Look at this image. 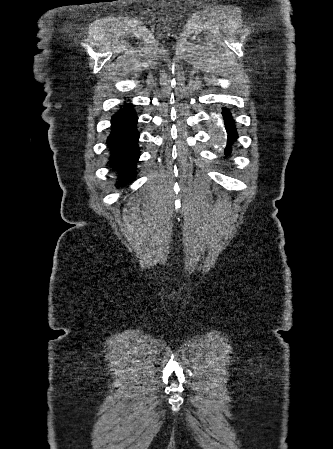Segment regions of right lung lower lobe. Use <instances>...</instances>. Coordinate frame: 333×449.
<instances>
[{
  "label": "right lung lower lobe",
  "mask_w": 333,
  "mask_h": 449,
  "mask_svg": "<svg viewBox=\"0 0 333 449\" xmlns=\"http://www.w3.org/2000/svg\"><path fill=\"white\" fill-rule=\"evenodd\" d=\"M137 119L132 105H124L112 116L107 146L110 152L109 166L118 176L119 186L132 182L136 176V164L140 156Z\"/></svg>",
  "instance_id": "obj_1"
}]
</instances>
